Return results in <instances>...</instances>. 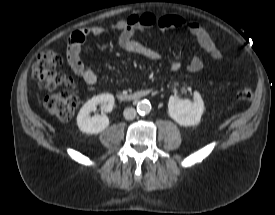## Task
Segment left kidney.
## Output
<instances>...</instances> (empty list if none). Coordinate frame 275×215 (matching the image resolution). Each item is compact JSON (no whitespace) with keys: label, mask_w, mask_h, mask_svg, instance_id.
<instances>
[{"label":"left kidney","mask_w":275,"mask_h":215,"mask_svg":"<svg viewBox=\"0 0 275 215\" xmlns=\"http://www.w3.org/2000/svg\"><path fill=\"white\" fill-rule=\"evenodd\" d=\"M204 111L201 95L195 91L193 101L171 96L168 102L169 116L181 126H195L199 124Z\"/></svg>","instance_id":"left-kidney-1"}]
</instances>
